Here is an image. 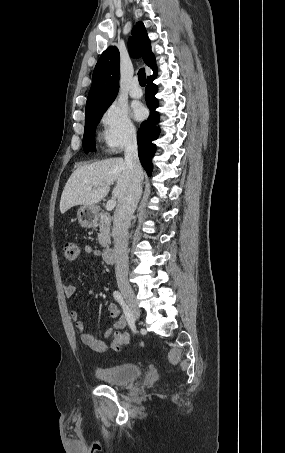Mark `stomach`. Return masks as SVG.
I'll list each match as a JSON object with an SVG mask.
<instances>
[{"label": "stomach", "instance_id": "0dacf381", "mask_svg": "<svg viewBox=\"0 0 285 453\" xmlns=\"http://www.w3.org/2000/svg\"><path fill=\"white\" fill-rule=\"evenodd\" d=\"M77 218L81 227L92 228L97 223L98 215L95 207L83 205L77 212Z\"/></svg>", "mask_w": 285, "mask_h": 453}]
</instances>
